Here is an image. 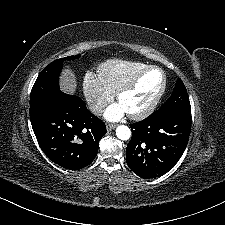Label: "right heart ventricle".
<instances>
[{
  "label": "right heart ventricle",
  "mask_w": 225,
  "mask_h": 225,
  "mask_svg": "<svg viewBox=\"0 0 225 225\" xmlns=\"http://www.w3.org/2000/svg\"><path fill=\"white\" fill-rule=\"evenodd\" d=\"M145 67L146 64L138 61L110 59L99 66L98 72L106 87L116 94Z\"/></svg>",
  "instance_id": "right-heart-ventricle-1"
}]
</instances>
